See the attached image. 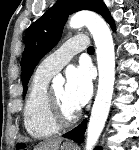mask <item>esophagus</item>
Masks as SVG:
<instances>
[{
    "mask_svg": "<svg viewBox=\"0 0 139 150\" xmlns=\"http://www.w3.org/2000/svg\"><path fill=\"white\" fill-rule=\"evenodd\" d=\"M67 144H68V145H72V143H71V142H67Z\"/></svg>",
    "mask_w": 139,
    "mask_h": 150,
    "instance_id": "1",
    "label": "esophagus"
}]
</instances>
